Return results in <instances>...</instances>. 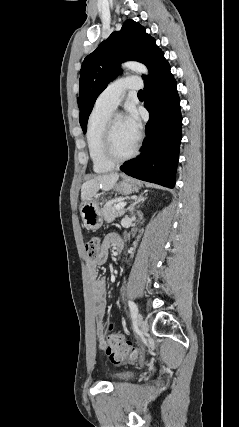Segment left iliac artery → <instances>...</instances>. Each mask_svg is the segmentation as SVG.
Returning a JSON list of instances; mask_svg holds the SVG:
<instances>
[{
    "mask_svg": "<svg viewBox=\"0 0 239 427\" xmlns=\"http://www.w3.org/2000/svg\"><path fill=\"white\" fill-rule=\"evenodd\" d=\"M128 305L130 308V312H131V317L132 318H136L137 314H138V307L137 305L133 302V301H128Z\"/></svg>",
    "mask_w": 239,
    "mask_h": 427,
    "instance_id": "1",
    "label": "left iliac artery"
}]
</instances>
